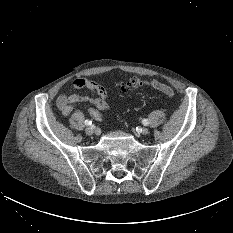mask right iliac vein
Instances as JSON below:
<instances>
[{
  "label": "right iliac vein",
  "instance_id": "obj_1",
  "mask_svg": "<svg viewBox=\"0 0 233 233\" xmlns=\"http://www.w3.org/2000/svg\"><path fill=\"white\" fill-rule=\"evenodd\" d=\"M85 133L87 134V135H92L93 133H94V129L92 128V127H87L86 129H85Z\"/></svg>",
  "mask_w": 233,
  "mask_h": 233
}]
</instances>
